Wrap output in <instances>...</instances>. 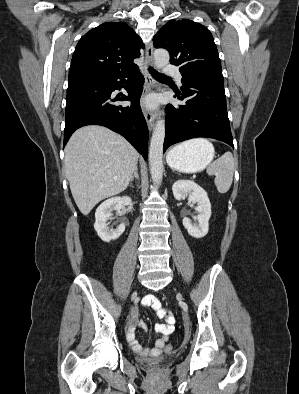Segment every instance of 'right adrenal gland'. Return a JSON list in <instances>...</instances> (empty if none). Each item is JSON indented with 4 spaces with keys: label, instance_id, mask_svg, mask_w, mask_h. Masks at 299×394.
<instances>
[{
    "label": "right adrenal gland",
    "instance_id": "right-adrenal-gland-1",
    "mask_svg": "<svg viewBox=\"0 0 299 394\" xmlns=\"http://www.w3.org/2000/svg\"><path fill=\"white\" fill-rule=\"evenodd\" d=\"M134 179H136L137 181H139V173H138V167H136L135 171H134V175L131 177L130 182L132 184V182L134 181ZM130 184V186H131Z\"/></svg>",
    "mask_w": 299,
    "mask_h": 394
}]
</instances>
